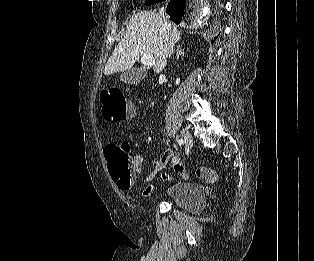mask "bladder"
I'll return each instance as SVG.
<instances>
[{"instance_id": "obj_1", "label": "bladder", "mask_w": 314, "mask_h": 261, "mask_svg": "<svg viewBox=\"0 0 314 261\" xmlns=\"http://www.w3.org/2000/svg\"><path fill=\"white\" fill-rule=\"evenodd\" d=\"M167 199L175 206L194 214L202 211L206 206L203 189L193 183H178L166 192Z\"/></svg>"}]
</instances>
